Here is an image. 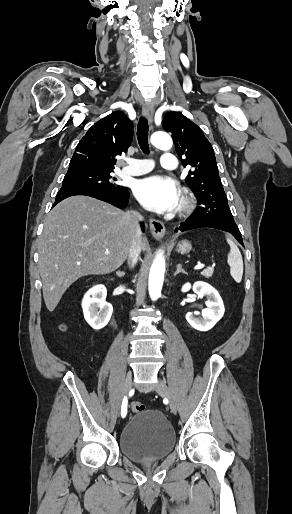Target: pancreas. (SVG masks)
Masks as SVG:
<instances>
[{"instance_id": "cf45deb5", "label": "pancreas", "mask_w": 292, "mask_h": 514, "mask_svg": "<svg viewBox=\"0 0 292 514\" xmlns=\"http://www.w3.org/2000/svg\"><path fill=\"white\" fill-rule=\"evenodd\" d=\"M213 274V270H203V272H201V276H205V278H211Z\"/></svg>"}]
</instances>
